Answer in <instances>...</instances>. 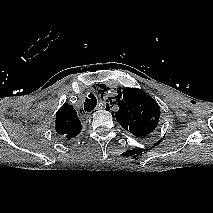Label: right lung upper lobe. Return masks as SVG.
<instances>
[{"label": "right lung upper lobe", "instance_id": "right-lung-upper-lobe-1", "mask_svg": "<svg viewBox=\"0 0 213 213\" xmlns=\"http://www.w3.org/2000/svg\"><path fill=\"white\" fill-rule=\"evenodd\" d=\"M81 122L73 106L65 103L56 114V132L62 139L70 140L81 132Z\"/></svg>", "mask_w": 213, "mask_h": 213}]
</instances>
